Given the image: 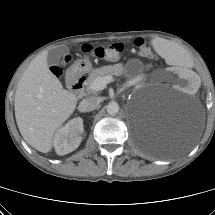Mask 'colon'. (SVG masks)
I'll list each match as a JSON object with an SVG mask.
<instances>
[{"label":"colon","instance_id":"5ec220e1","mask_svg":"<svg viewBox=\"0 0 215 215\" xmlns=\"http://www.w3.org/2000/svg\"><path fill=\"white\" fill-rule=\"evenodd\" d=\"M135 44L140 47L142 53L146 57H151L152 53L146 43H144L142 40L137 39L135 41ZM123 50V45L116 43L112 44L106 47H93L89 44H85L82 46V51L85 53H93L96 57L100 59H105V60H114L116 59L121 51ZM55 72L57 74L60 73V70L58 68H55Z\"/></svg>","mask_w":215,"mask_h":215}]
</instances>
